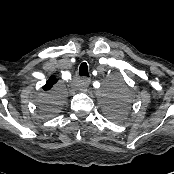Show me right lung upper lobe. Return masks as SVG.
<instances>
[{
	"label": "right lung upper lobe",
	"instance_id": "obj_1",
	"mask_svg": "<svg viewBox=\"0 0 174 174\" xmlns=\"http://www.w3.org/2000/svg\"><path fill=\"white\" fill-rule=\"evenodd\" d=\"M57 82V79L54 76H51L46 84L43 86L44 90H50L53 85Z\"/></svg>",
	"mask_w": 174,
	"mask_h": 174
}]
</instances>
